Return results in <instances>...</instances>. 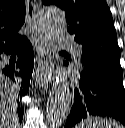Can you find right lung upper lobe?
Wrapping results in <instances>:
<instances>
[{
	"instance_id": "obj_1",
	"label": "right lung upper lobe",
	"mask_w": 125,
	"mask_h": 128,
	"mask_svg": "<svg viewBox=\"0 0 125 128\" xmlns=\"http://www.w3.org/2000/svg\"><path fill=\"white\" fill-rule=\"evenodd\" d=\"M25 11L24 0H0V50L25 38L18 34Z\"/></svg>"
}]
</instances>
